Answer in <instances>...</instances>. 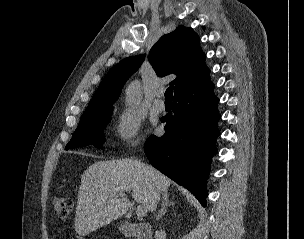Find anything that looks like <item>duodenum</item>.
<instances>
[{
    "mask_svg": "<svg viewBox=\"0 0 304 239\" xmlns=\"http://www.w3.org/2000/svg\"><path fill=\"white\" fill-rule=\"evenodd\" d=\"M121 231L127 237L136 239H153L152 228L147 223H133L125 221L121 224Z\"/></svg>",
    "mask_w": 304,
    "mask_h": 239,
    "instance_id": "1",
    "label": "duodenum"
}]
</instances>
